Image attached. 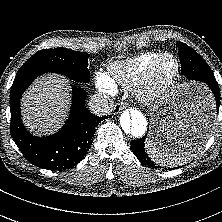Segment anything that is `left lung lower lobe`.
Instances as JSON below:
<instances>
[{
  "mask_svg": "<svg viewBox=\"0 0 222 222\" xmlns=\"http://www.w3.org/2000/svg\"><path fill=\"white\" fill-rule=\"evenodd\" d=\"M180 61L182 66L181 72L187 79L205 83L211 89L216 101L215 108L218 112L220 106V90L214 74L205 69L193 57H180ZM214 116V110L212 109L211 114L195 122L193 127L189 126L181 129L177 136L171 140V146L169 148H172L175 152H188L196 148L206 135L209 134ZM146 136L147 134L140 139L131 141L130 145L132 152L144 165L157 168L158 166H155L154 162L151 161L145 152L144 146Z\"/></svg>",
  "mask_w": 222,
  "mask_h": 222,
  "instance_id": "obj_1",
  "label": "left lung lower lobe"
}]
</instances>
